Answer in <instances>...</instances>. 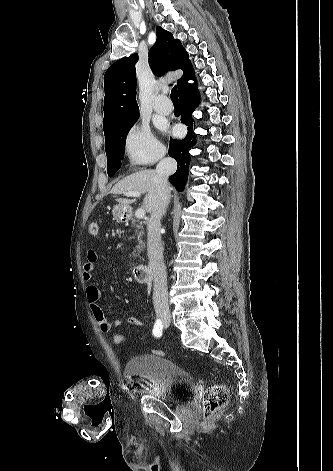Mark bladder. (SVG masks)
<instances>
[{"label": "bladder", "instance_id": "1", "mask_svg": "<svg viewBox=\"0 0 333 471\" xmlns=\"http://www.w3.org/2000/svg\"><path fill=\"white\" fill-rule=\"evenodd\" d=\"M127 376L148 382L149 393L166 404H179L191 397L196 384L191 374L173 361L155 354L131 357L125 365Z\"/></svg>", "mask_w": 333, "mask_h": 471}]
</instances>
